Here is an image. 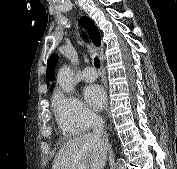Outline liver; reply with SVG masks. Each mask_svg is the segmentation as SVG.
Listing matches in <instances>:
<instances>
[{
  "mask_svg": "<svg viewBox=\"0 0 177 169\" xmlns=\"http://www.w3.org/2000/svg\"><path fill=\"white\" fill-rule=\"evenodd\" d=\"M109 142L93 134L69 140L54 158L52 169H103Z\"/></svg>",
  "mask_w": 177,
  "mask_h": 169,
  "instance_id": "liver-1",
  "label": "liver"
}]
</instances>
